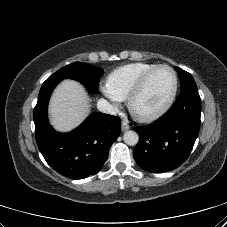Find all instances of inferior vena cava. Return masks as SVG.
<instances>
[{
	"instance_id": "obj_1",
	"label": "inferior vena cava",
	"mask_w": 227,
	"mask_h": 227,
	"mask_svg": "<svg viewBox=\"0 0 227 227\" xmlns=\"http://www.w3.org/2000/svg\"><path fill=\"white\" fill-rule=\"evenodd\" d=\"M97 108L99 111L103 112V113H107V114H111V115H115L116 109L105 99H99L97 102Z\"/></svg>"
}]
</instances>
